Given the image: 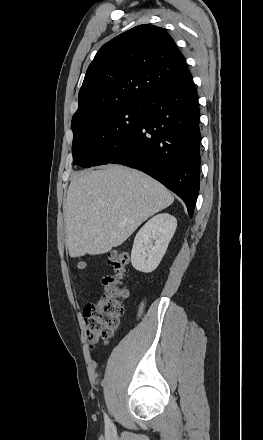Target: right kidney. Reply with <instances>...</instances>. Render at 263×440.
Wrapping results in <instances>:
<instances>
[{"label":"right kidney","mask_w":263,"mask_h":440,"mask_svg":"<svg viewBox=\"0 0 263 440\" xmlns=\"http://www.w3.org/2000/svg\"><path fill=\"white\" fill-rule=\"evenodd\" d=\"M176 227V218L167 213L158 214L147 221L134 239L131 252L134 269L144 273L155 270L167 250Z\"/></svg>","instance_id":"obj_1"}]
</instances>
